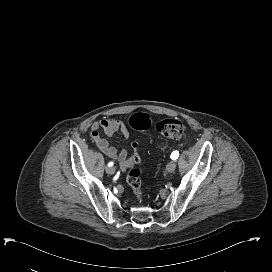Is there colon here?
<instances>
[{"instance_id": "obj_1", "label": "colon", "mask_w": 272, "mask_h": 272, "mask_svg": "<svg viewBox=\"0 0 272 272\" xmlns=\"http://www.w3.org/2000/svg\"><path fill=\"white\" fill-rule=\"evenodd\" d=\"M129 125L135 131H145L150 128L151 119L146 114H134L129 118ZM155 127L162 136L170 139H183L186 134V124L175 118L162 119ZM127 182L138 201H142L141 174L137 168L129 171Z\"/></svg>"}]
</instances>
